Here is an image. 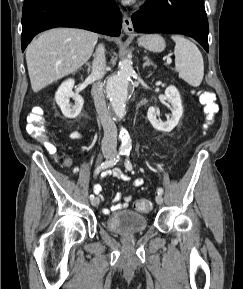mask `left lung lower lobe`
<instances>
[{"label": "left lung lower lobe", "mask_w": 243, "mask_h": 289, "mask_svg": "<svg viewBox=\"0 0 243 289\" xmlns=\"http://www.w3.org/2000/svg\"><path fill=\"white\" fill-rule=\"evenodd\" d=\"M131 20L139 33L187 35L208 52L209 29L204 0H147Z\"/></svg>", "instance_id": "left-lung-lower-lobe-1"}]
</instances>
